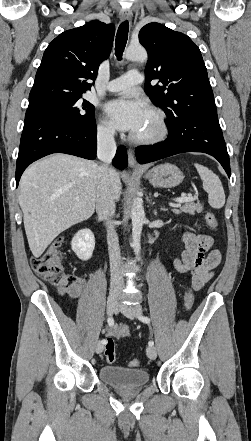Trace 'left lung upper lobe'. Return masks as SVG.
I'll list each match as a JSON object with an SVG mask.
<instances>
[{"label":"left lung upper lobe","instance_id":"1","mask_svg":"<svg viewBox=\"0 0 251 441\" xmlns=\"http://www.w3.org/2000/svg\"><path fill=\"white\" fill-rule=\"evenodd\" d=\"M139 41L148 52L145 90L165 112L168 128L183 117L217 114L201 52L187 35L149 23L140 30ZM154 79L161 84L152 86Z\"/></svg>","mask_w":251,"mask_h":441}]
</instances>
